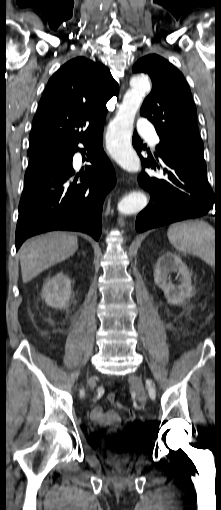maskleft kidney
Returning <instances> with one entry per match:
<instances>
[{"mask_svg":"<svg viewBox=\"0 0 221 510\" xmlns=\"http://www.w3.org/2000/svg\"><path fill=\"white\" fill-rule=\"evenodd\" d=\"M171 271H178L180 284L175 286L168 275ZM154 280L164 292L170 304H181L193 293L191 274L181 258L172 252L164 253L159 257L154 271Z\"/></svg>","mask_w":221,"mask_h":510,"instance_id":"obj_1","label":"left kidney"}]
</instances>
